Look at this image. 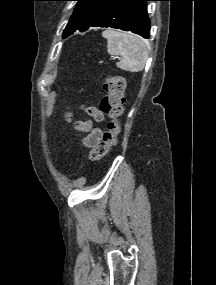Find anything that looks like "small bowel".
<instances>
[{"label":"small bowel","instance_id":"small-bowel-1","mask_svg":"<svg viewBox=\"0 0 216 285\" xmlns=\"http://www.w3.org/2000/svg\"><path fill=\"white\" fill-rule=\"evenodd\" d=\"M87 112L97 120H102L103 115L96 108L90 107L87 109ZM78 129L84 132H87V136L84 138L83 143L88 147H93L96 145L101 137L102 132L100 129L92 128L89 121H81L77 125Z\"/></svg>","mask_w":216,"mask_h":285}]
</instances>
